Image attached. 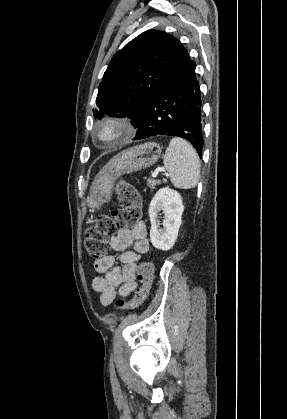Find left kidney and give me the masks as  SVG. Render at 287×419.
Here are the masks:
<instances>
[{
	"label": "left kidney",
	"instance_id": "left-kidney-1",
	"mask_svg": "<svg viewBox=\"0 0 287 419\" xmlns=\"http://www.w3.org/2000/svg\"><path fill=\"white\" fill-rule=\"evenodd\" d=\"M164 214L163 228H159L158 213ZM151 221L150 240L159 250H170L178 236L184 211L181 195L168 187L158 190L149 205Z\"/></svg>",
	"mask_w": 287,
	"mask_h": 419
}]
</instances>
